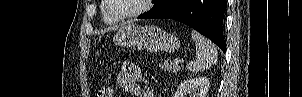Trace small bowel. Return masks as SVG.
<instances>
[{"instance_id":"1","label":"small bowel","mask_w":302,"mask_h":97,"mask_svg":"<svg viewBox=\"0 0 302 97\" xmlns=\"http://www.w3.org/2000/svg\"><path fill=\"white\" fill-rule=\"evenodd\" d=\"M119 86L126 92L139 97H151L148 91V81L142 72L134 65L124 63L119 77Z\"/></svg>"}]
</instances>
